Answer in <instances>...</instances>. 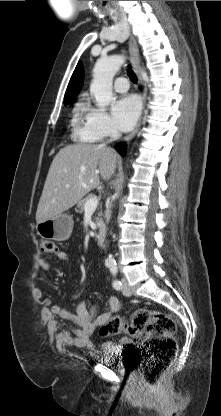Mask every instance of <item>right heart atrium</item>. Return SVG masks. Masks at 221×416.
Segmentation results:
<instances>
[{"mask_svg":"<svg viewBox=\"0 0 221 416\" xmlns=\"http://www.w3.org/2000/svg\"><path fill=\"white\" fill-rule=\"evenodd\" d=\"M83 131L95 141L116 137L119 134L112 117L104 109L90 104L85 107Z\"/></svg>","mask_w":221,"mask_h":416,"instance_id":"d8ad5b80","label":"right heart atrium"}]
</instances>
